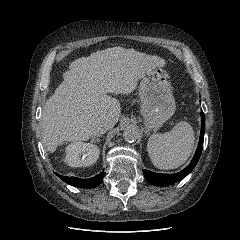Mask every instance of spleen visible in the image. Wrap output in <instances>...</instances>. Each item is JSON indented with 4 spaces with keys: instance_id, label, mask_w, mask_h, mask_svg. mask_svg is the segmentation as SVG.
Instances as JSON below:
<instances>
[{
    "instance_id": "obj_1",
    "label": "spleen",
    "mask_w": 240,
    "mask_h": 240,
    "mask_svg": "<svg viewBox=\"0 0 240 240\" xmlns=\"http://www.w3.org/2000/svg\"><path fill=\"white\" fill-rule=\"evenodd\" d=\"M194 131L187 122L177 123L164 134L149 137L147 150L154 166L159 169H174L184 164L194 147Z\"/></svg>"
}]
</instances>
